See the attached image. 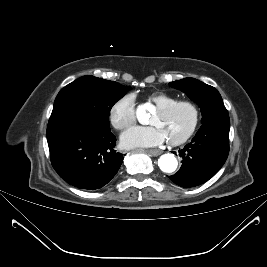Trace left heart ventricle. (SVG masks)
<instances>
[{
	"label": "left heart ventricle",
	"mask_w": 267,
	"mask_h": 267,
	"mask_svg": "<svg viewBox=\"0 0 267 267\" xmlns=\"http://www.w3.org/2000/svg\"><path fill=\"white\" fill-rule=\"evenodd\" d=\"M192 121V110L187 106H181L168 114H161L157 111L151 124L162 129L167 139H176L186 133Z\"/></svg>",
	"instance_id": "1"
}]
</instances>
